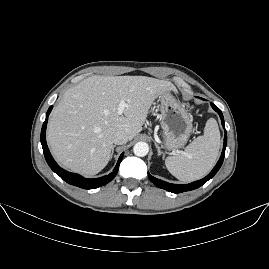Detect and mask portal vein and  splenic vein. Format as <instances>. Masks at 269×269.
Listing matches in <instances>:
<instances>
[{
    "label": "portal vein and splenic vein",
    "mask_w": 269,
    "mask_h": 269,
    "mask_svg": "<svg viewBox=\"0 0 269 269\" xmlns=\"http://www.w3.org/2000/svg\"><path fill=\"white\" fill-rule=\"evenodd\" d=\"M129 105L125 102L120 103L119 111L122 112L125 108H128Z\"/></svg>",
    "instance_id": "obj_1"
}]
</instances>
